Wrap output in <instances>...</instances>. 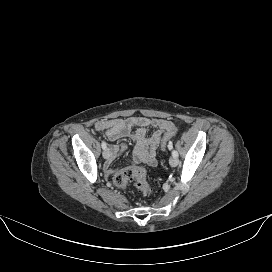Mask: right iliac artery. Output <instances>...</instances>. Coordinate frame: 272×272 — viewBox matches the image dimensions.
Wrapping results in <instances>:
<instances>
[{
    "label": "right iliac artery",
    "instance_id": "1",
    "mask_svg": "<svg viewBox=\"0 0 272 272\" xmlns=\"http://www.w3.org/2000/svg\"><path fill=\"white\" fill-rule=\"evenodd\" d=\"M101 146H102V148H103V149H106V147H107V144H106V142H105V141H102V144H101Z\"/></svg>",
    "mask_w": 272,
    "mask_h": 272
}]
</instances>
